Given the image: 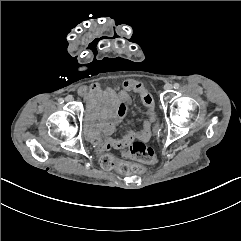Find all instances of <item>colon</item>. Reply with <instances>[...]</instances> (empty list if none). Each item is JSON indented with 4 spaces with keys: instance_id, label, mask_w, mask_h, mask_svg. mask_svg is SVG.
I'll list each match as a JSON object with an SVG mask.
<instances>
[{
    "instance_id": "5ec220e1",
    "label": "colon",
    "mask_w": 241,
    "mask_h": 241,
    "mask_svg": "<svg viewBox=\"0 0 241 241\" xmlns=\"http://www.w3.org/2000/svg\"><path fill=\"white\" fill-rule=\"evenodd\" d=\"M156 132H159V128L156 127ZM125 155L130 158H139L148 163H155L158 160L156 152L149 146L145 145L142 142H135L125 149ZM101 160L99 161L100 166L105 172H108L110 169L121 170L122 172H132L135 173H144L146 168L144 166H135L125 164L115 159L109 154H102Z\"/></svg>"
}]
</instances>
